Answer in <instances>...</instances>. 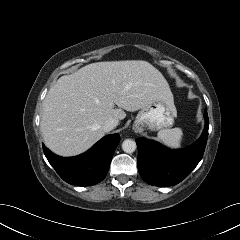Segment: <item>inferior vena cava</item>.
Masks as SVG:
<instances>
[{
	"label": "inferior vena cava",
	"instance_id": "602c4592",
	"mask_svg": "<svg viewBox=\"0 0 240 240\" xmlns=\"http://www.w3.org/2000/svg\"><path fill=\"white\" fill-rule=\"evenodd\" d=\"M118 124V121L116 119L110 118L108 119L102 126L103 130L105 132H109L112 129H114Z\"/></svg>",
	"mask_w": 240,
	"mask_h": 240
}]
</instances>
